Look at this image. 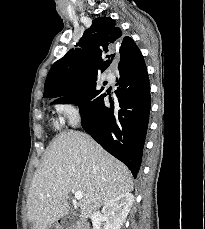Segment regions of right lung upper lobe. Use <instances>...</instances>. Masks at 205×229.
Wrapping results in <instances>:
<instances>
[{"instance_id": "cb5924a9", "label": "right lung upper lobe", "mask_w": 205, "mask_h": 229, "mask_svg": "<svg viewBox=\"0 0 205 229\" xmlns=\"http://www.w3.org/2000/svg\"><path fill=\"white\" fill-rule=\"evenodd\" d=\"M70 49L51 67L44 85V98L67 96L80 85L96 82L113 61L116 51L120 61L118 69L136 67L143 56L130 37L122 38V32L110 17L93 20L79 43ZM121 45V46H120Z\"/></svg>"}]
</instances>
